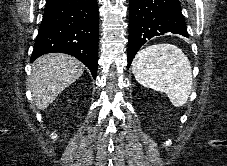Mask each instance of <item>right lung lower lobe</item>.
<instances>
[{
	"label": "right lung lower lobe",
	"instance_id": "right-lung-lower-lobe-1",
	"mask_svg": "<svg viewBox=\"0 0 227 166\" xmlns=\"http://www.w3.org/2000/svg\"><path fill=\"white\" fill-rule=\"evenodd\" d=\"M98 31L96 0H47L30 61L47 53L69 54L83 62L95 79Z\"/></svg>",
	"mask_w": 227,
	"mask_h": 166
}]
</instances>
